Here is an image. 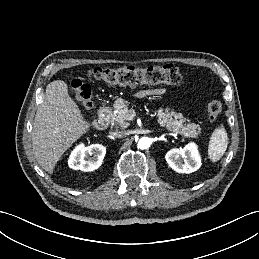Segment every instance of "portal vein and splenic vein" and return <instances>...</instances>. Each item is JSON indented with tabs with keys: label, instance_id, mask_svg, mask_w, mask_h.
I'll list each match as a JSON object with an SVG mask.
<instances>
[{
	"label": "portal vein and splenic vein",
	"instance_id": "1",
	"mask_svg": "<svg viewBox=\"0 0 259 259\" xmlns=\"http://www.w3.org/2000/svg\"><path fill=\"white\" fill-rule=\"evenodd\" d=\"M135 116V113L131 114L129 119H132Z\"/></svg>",
	"mask_w": 259,
	"mask_h": 259
}]
</instances>
